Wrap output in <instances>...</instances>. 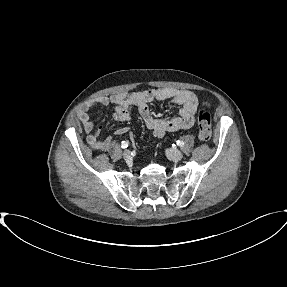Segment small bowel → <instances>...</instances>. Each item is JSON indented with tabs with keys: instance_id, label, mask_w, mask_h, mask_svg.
<instances>
[{
	"instance_id": "c3829d8e",
	"label": "small bowel",
	"mask_w": 287,
	"mask_h": 287,
	"mask_svg": "<svg viewBox=\"0 0 287 287\" xmlns=\"http://www.w3.org/2000/svg\"><path fill=\"white\" fill-rule=\"evenodd\" d=\"M166 100L181 106L178 115L172 118L154 117L148 103ZM100 105L111 106L114 111V119L121 122L130 121L132 117L129 108L132 106L137 107L147 128L152 131L154 136L162 137L166 133L191 128L195 123V112L199 102L192 92L172 88L147 89L91 99L80 108L78 118L87 134V142L91 148L104 151L112 145L113 139L110 136L100 139L101 128L95 130V125L90 117V110ZM115 133L119 135L129 134L131 130L128 127H120Z\"/></svg>"
}]
</instances>
